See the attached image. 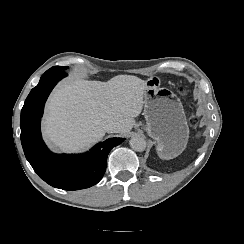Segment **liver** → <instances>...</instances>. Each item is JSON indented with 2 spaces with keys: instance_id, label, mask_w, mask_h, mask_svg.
<instances>
[{
  "instance_id": "liver-1",
  "label": "liver",
  "mask_w": 244,
  "mask_h": 244,
  "mask_svg": "<svg viewBox=\"0 0 244 244\" xmlns=\"http://www.w3.org/2000/svg\"><path fill=\"white\" fill-rule=\"evenodd\" d=\"M146 81L118 75L107 82L64 80L50 95L42 122L47 144L63 152H76L105 135L104 123L115 122L128 133L143 107Z\"/></svg>"
}]
</instances>
